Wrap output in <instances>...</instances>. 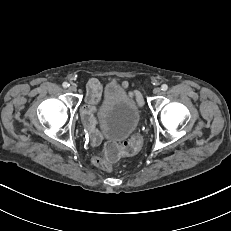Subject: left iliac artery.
<instances>
[{
    "mask_svg": "<svg viewBox=\"0 0 231 231\" xmlns=\"http://www.w3.org/2000/svg\"><path fill=\"white\" fill-rule=\"evenodd\" d=\"M161 89H162L163 91H166V90L168 89V86H167L166 84H163V85L161 86Z\"/></svg>",
    "mask_w": 231,
    "mask_h": 231,
    "instance_id": "44dca946",
    "label": "left iliac artery"
}]
</instances>
